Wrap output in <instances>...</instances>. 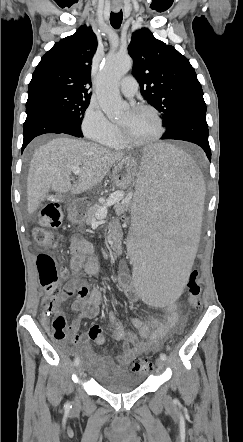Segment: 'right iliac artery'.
I'll use <instances>...</instances> for the list:
<instances>
[{
    "label": "right iliac artery",
    "mask_w": 243,
    "mask_h": 442,
    "mask_svg": "<svg viewBox=\"0 0 243 442\" xmlns=\"http://www.w3.org/2000/svg\"><path fill=\"white\" fill-rule=\"evenodd\" d=\"M79 363H80V358L76 357L74 360V364L77 366ZM64 407L66 410H69L71 408V405L69 402H67Z\"/></svg>",
    "instance_id": "right-iliac-artery-1"
}]
</instances>
